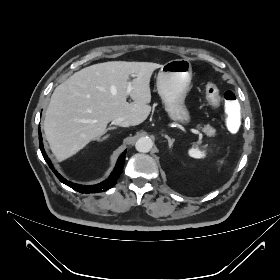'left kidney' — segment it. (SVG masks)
Instances as JSON below:
<instances>
[{
  "mask_svg": "<svg viewBox=\"0 0 280 280\" xmlns=\"http://www.w3.org/2000/svg\"><path fill=\"white\" fill-rule=\"evenodd\" d=\"M189 156L193 158H204L205 157V152L201 151L198 147H192L188 151Z\"/></svg>",
  "mask_w": 280,
  "mask_h": 280,
  "instance_id": "obj_1",
  "label": "left kidney"
}]
</instances>
